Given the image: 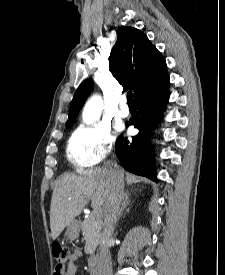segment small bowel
Here are the masks:
<instances>
[{
  "mask_svg": "<svg viewBox=\"0 0 225 275\" xmlns=\"http://www.w3.org/2000/svg\"><path fill=\"white\" fill-rule=\"evenodd\" d=\"M82 252L79 249H76L72 252L69 257L65 271L62 275H75L77 270V262L80 259Z\"/></svg>",
  "mask_w": 225,
  "mask_h": 275,
  "instance_id": "1",
  "label": "small bowel"
}]
</instances>
